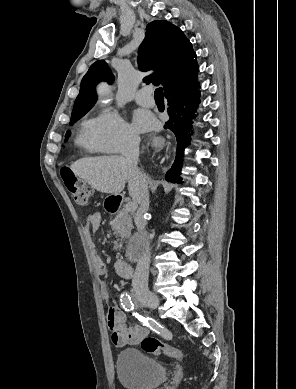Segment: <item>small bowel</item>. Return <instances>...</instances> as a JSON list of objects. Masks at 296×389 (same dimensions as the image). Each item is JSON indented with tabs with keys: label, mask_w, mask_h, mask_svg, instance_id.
<instances>
[{
	"label": "small bowel",
	"mask_w": 296,
	"mask_h": 389,
	"mask_svg": "<svg viewBox=\"0 0 296 389\" xmlns=\"http://www.w3.org/2000/svg\"><path fill=\"white\" fill-rule=\"evenodd\" d=\"M101 223V214L96 211L87 217L86 230L90 238V245L94 247L91 240L92 233L96 232ZM97 266L101 275L105 274L104 266L100 258H96ZM107 324L111 331V340L114 345L123 347L126 345H136L146 337L148 329L141 324L129 325L126 322L123 311L117 306H110L107 314Z\"/></svg>",
	"instance_id": "1"
}]
</instances>
